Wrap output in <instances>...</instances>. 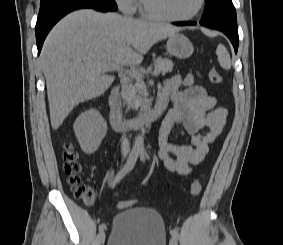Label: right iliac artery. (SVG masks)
Wrapping results in <instances>:
<instances>
[{"mask_svg": "<svg viewBox=\"0 0 283 245\" xmlns=\"http://www.w3.org/2000/svg\"><path fill=\"white\" fill-rule=\"evenodd\" d=\"M139 150L133 149L129 155V158L125 164V166L116 174L113 183H112V187H115L116 184L118 182H120L135 166L136 161L138 159L139 156ZM106 229V224L102 223L99 226V230H104Z\"/></svg>", "mask_w": 283, "mask_h": 245, "instance_id": "obj_1", "label": "right iliac artery"}]
</instances>
